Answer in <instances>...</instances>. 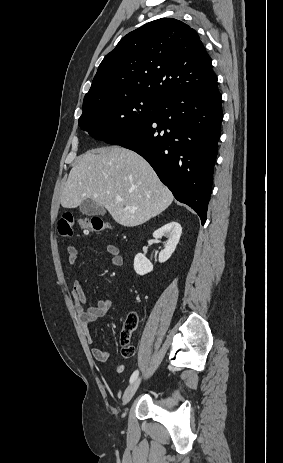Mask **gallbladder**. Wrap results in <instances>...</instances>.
I'll use <instances>...</instances> for the list:
<instances>
[{
  "mask_svg": "<svg viewBox=\"0 0 283 463\" xmlns=\"http://www.w3.org/2000/svg\"><path fill=\"white\" fill-rule=\"evenodd\" d=\"M80 212L87 216L103 215L106 213L105 207L87 199L80 204Z\"/></svg>",
  "mask_w": 283,
  "mask_h": 463,
  "instance_id": "bac80fb5",
  "label": "gallbladder"
}]
</instances>
